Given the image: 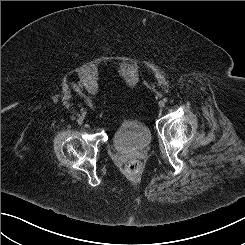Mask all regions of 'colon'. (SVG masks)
Listing matches in <instances>:
<instances>
[{
	"label": "colon",
	"instance_id": "colon-1",
	"mask_svg": "<svg viewBox=\"0 0 245 245\" xmlns=\"http://www.w3.org/2000/svg\"><path fill=\"white\" fill-rule=\"evenodd\" d=\"M125 170L130 175H136L141 170V163L135 159L127 162Z\"/></svg>",
	"mask_w": 245,
	"mask_h": 245
}]
</instances>
